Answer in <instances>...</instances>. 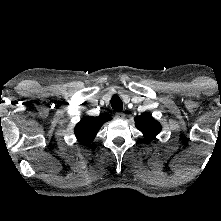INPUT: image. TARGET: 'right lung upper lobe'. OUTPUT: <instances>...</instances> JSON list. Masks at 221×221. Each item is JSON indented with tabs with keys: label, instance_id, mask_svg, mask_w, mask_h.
<instances>
[{
	"label": "right lung upper lobe",
	"instance_id": "obj_1",
	"mask_svg": "<svg viewBox=\"0 0 221 221\" xmlns=\"http://www.w3.org/2000/svg\"><path fill=\"white\" fill-rule=\"evenodd\" d=\"M111 119L109 115L102 117H84L74 129L78 141L82 144L89 145L94 140L101 126Z\"/></svg>",
	"mask_w": 221,
	"mask_h": 221
}]
</instances>
